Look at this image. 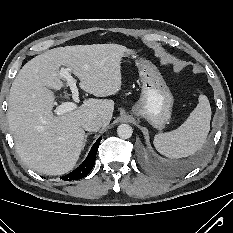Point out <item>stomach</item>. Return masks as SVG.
I'll list each match as a JSON object with an SVG mask.
<instances>
[{
	"instance_id": "1",
	"label": "stomach",
	"mask_w": 233,
	"mask_h": 233,
	"mask_svg": "<svg viewBox=\"0 0 233 233\" xmlns=\"http://www.w3.org/2000/svg\"><path fill=\"white\" fill-rule=\"evenodd\" d=\"M123 58L136 60L142 83L141 96L132 112L146 119L153 127L161 129L170 119L173 96L157 66L150 60L137 59L135 49H127Z\"/></svg>"
}]
</instances>
